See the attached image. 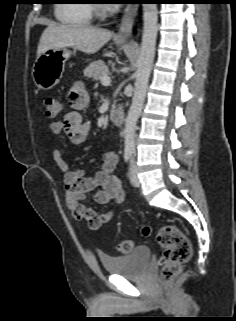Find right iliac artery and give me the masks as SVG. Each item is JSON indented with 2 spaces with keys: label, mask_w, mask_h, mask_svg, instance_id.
<instances>
[{
  "label": "right iliac artery",
  "mask_w": 236,
  "mask_h": 321,
  "mask_svg": "<svg viewBox=\"0 0 236 321\" xmlns=\"http://www.w3.org/2000/svg\"><path fill=\"white\" fill-rule=\"evenodd\" d=\"M131 158V152H125L124 153V160L127 163Z\"/></svg>",
  "instance_id": "1"
}]
</instances>
